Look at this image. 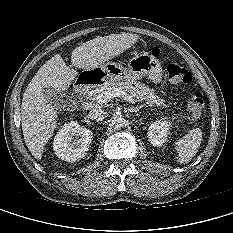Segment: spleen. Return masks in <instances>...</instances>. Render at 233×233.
I'll list each match as a JSON object with an SVG mask.
<instances>
[{"mask_svg":"<svg viewBox=\"0 0 233 233\" xmlns=\"http://www.w3.org/2000/svg\"><path fill=\"white\" fill-rule=\"evenodd\" d=\"M202 140V131L199 128L191 130L175 143L179 163L189 162L197 153Z\"/></svg>","mask_w":233,"mask_h":233,"instance_id":"spleen-1","label":"spleen"}]
</instances>
